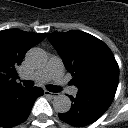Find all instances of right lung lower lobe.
<instances>
[{
  "mask_svg": "<svg viewBox=\"0 0 128 128\" xmlns=\"http://www.w3.org/2000/svg\"><path fill=\"white\" fill-rule=\"evenodd\" d=\"M44 94L39 87H18L0 98V127L11 128L24 122L35 100Z\"/></svg>",
  "mask_w": 128,
  "mask_h": 128,
  "instance_id": "1",
  "label": "right lung lower lobe"
}]
</instances>
